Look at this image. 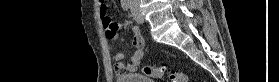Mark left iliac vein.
Segmentation results:
<instances>
[{
	"mask_svg": "<svg viewBox=\"0 0 279 82\" xmlns=\"http://www.w3.org/2000/svg\"><path fill=\"white\" fill-rule=\"evenodd\" d=\"M131 13H132V16L134 18V20L137 22V23H142L143 22V16L139 10L138 7L136 6H132L131 7Z\"/></svg>",
	"mask_w": 279,
	"mask_h": 82,
	"instance_id": "1",
	"label": "left iliac vein"
}]
</instances>
